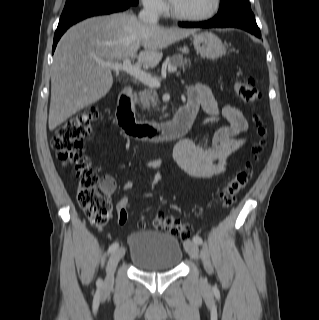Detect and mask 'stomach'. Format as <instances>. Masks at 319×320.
<instances>
[{
  "mask_svg": "<svg viewBox=\"0 0 319 320\" xmlns=\"http://www.w3.org/2000/svg\"><path fill=\"white\" fill-rule=\"evenodd\" d=\"M193 45L196 52L207 59L220 58L226 52L221 39L209 31L193 35Z\"/></svg>",
  "mask_w": 319,
  "mask_h": 320,
  "instance_id": "obj_1",
  "label": "stomach"
}]
</instances>
